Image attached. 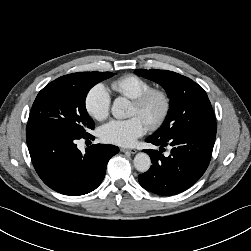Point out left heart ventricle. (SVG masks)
<instances>
[{"label":"left heart ventricle","mask_w":251,"mask_h":251,"mask_svg":"<svg viewBox=\"0 0 251 251\" xmlns=\"http://www.w3.org/2000/svg\"><path fill=\"white\" fill-rule=\"evenodd\" d=\"M159 109V102L157 100L153 101L146 111H140L138 107L132 104L131 115L140 116L146 123L148 119L154 115Z\"/></svg>","instance_id":"1"}]
</instances>
